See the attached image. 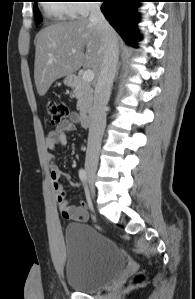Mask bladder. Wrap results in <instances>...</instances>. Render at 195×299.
<instances>
[{
    "mask_svg": "<svg viewBox=\"0 0 195 299\" xmlns=\"http://www.w3.org/2000/svg\"><path fill=\"white\" fill-rule=\"evenodd\" d=\"M65 279L70 288L88 292L114 281L126 267V259L110 239L84 223L66 226Z\"/></svg>",
    "mask_w": 195,
    "mask_h": 299,
    "instance_id": "1",
    "label": "bladder"
}]
</instances>
